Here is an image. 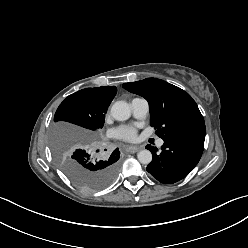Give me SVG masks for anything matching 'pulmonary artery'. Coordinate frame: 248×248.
Listing matches in <instances>:
<instances>
[{"label": "pulmonary artery", "mask_w": 248, "mask_h": 248, "mask_svg": "<svg viewBox=\"0 0 248 248\" xmlns=\"http://www.w3.org/2000/svg\"><path fill=\"white\" fill-rule=\"evenodd\" d=\"M131 109L135 118L142 119L145 118L149 112V104L147 100L143 98H134L131 101ZM164 141L159 139L157 144L158 146H162Z\"/></svg>", "instance_id": "e3ab8cb5"}]
</instances>
